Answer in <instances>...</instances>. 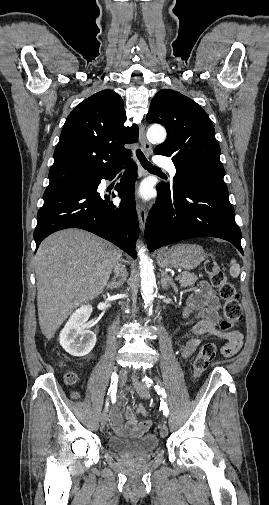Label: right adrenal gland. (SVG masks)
I'll use <instances>...</instances> for the list:
<instances>
[{"instance_id": "2a0ac1e0", "label": "right adrenal gland", "mask_w": 269, "mask_h": 505, "mask_svg": "<svg viewBox=\"0 0 269 505\" xmlns=\"http://www.w3.org/2000/svg\"><path fill=\"white\" fill-rule=\"evenodd\" d=\"M124 280H125V277H124V276L121 278V280H120V281H116V279H115V278H113V280H112V281L108 282V284H107V288H109V289H116V288H119V287L123 284Z\"/></svg>"}]
</instances>
